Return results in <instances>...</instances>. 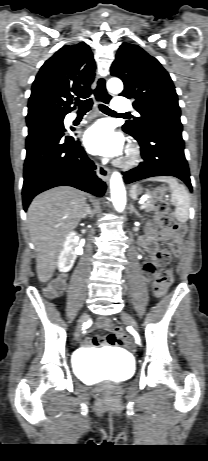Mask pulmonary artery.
<instances>
[{
  "mask_svg": "<svg viewBox=\"0 0 208 461\" xmlns=\"http://www.w3.org/2000/svg\"><path fill=\"white\" fill-rule=\"evenodd\" d=\"M112 107L115 112L126 113L132 110L131 104L127 101L125 97H117L112 103ZM75 117V116H73Z\"/></svg>",
  "mask_w": 208,
  "mask_h": 461,
  "instance_id": "1",
  "label": "pulmonary artery"
}]
</instances>
